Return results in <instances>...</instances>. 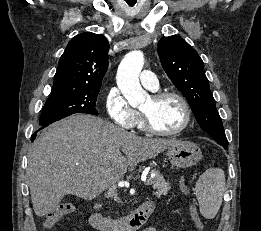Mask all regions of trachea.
Here are the masks:
<instances>
[{
	"mask_svg": "<svg viewBox=\"0 0 261 231\" xmlns=\"http://www.w3.org/2000/svg\"><path fill=\"white\" fill-rule=\"evenodd\" d=\"M137 0H126V2L128 3V5L130 6H134Z\"/></svg>",
	"mask_w": 261,
	"mask_h": 231,
	"instance_id": "trachea-1",
	"label": "trachea"
}]
</instances>
